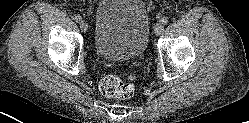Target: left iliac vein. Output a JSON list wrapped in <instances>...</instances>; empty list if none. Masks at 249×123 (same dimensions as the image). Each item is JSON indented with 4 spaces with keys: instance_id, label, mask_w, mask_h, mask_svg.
Wrapping results in <instances>:
<instances>
[{
    "instance_id": "4c4485c4",
    "label": "left iliac vein",
    "mask_w": 249,
    "mask_h": 123,
    "mask_svg": "<svg viewBox=\"0 0 249 123\" xmlns=\"http://www.w3.org/2000/svg\"><path fill=\"white\" fill-rule=\"evenodd\" d=\"M163 30H164V26H163L162 23H157V24L155 25L154 31H155V34H156V35H160V34L163 32Z\"/></svg>"
}]
</instances>
